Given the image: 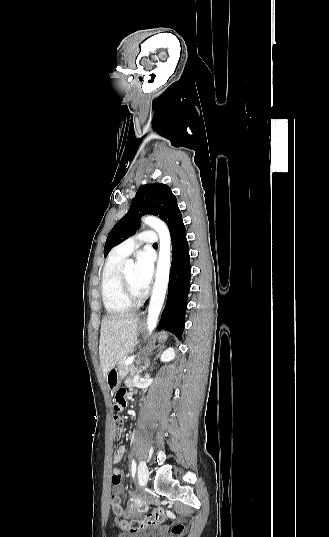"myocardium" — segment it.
<instances>
[{
  "label": "myocardium",
  "instance_id": "1",
  "mask_svg": "<svg viewBox=\"0 0 329 537\" xmlns=\"http://www.w3.org/2000/svg\"><path fill=\"white\" fill-rule=\"evenodd\" d=\"M119 280H120L122 293L124 297L126 298V300H128L131 304H137L140 301H142V299L145 297V294L143 293L141 295H135L134 293H132L128 285V282L126 280L124 270H121L119 272Z\"/></svg>",
  "mask_w": 329,
  "mask_h": 537
}]
</instances>
